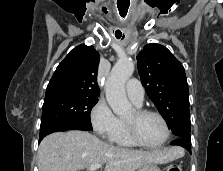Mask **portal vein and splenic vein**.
Masks as SVG:
<instances>
[{"label": "portal vein and splenic vein", "mask_w": 223, "mask_h": 171, "mask_svg": "<svg viewBox=\"0 0 223 171\" xmlns=\"http://www.w3.org/2000/svg\"><path fill=\"white\" fill-rule=\"evenodd\" d=\"M102 167V164H93L89 167V171H95Z\"/></svg>", "instance_id": "obj_1"}]
</instances>
